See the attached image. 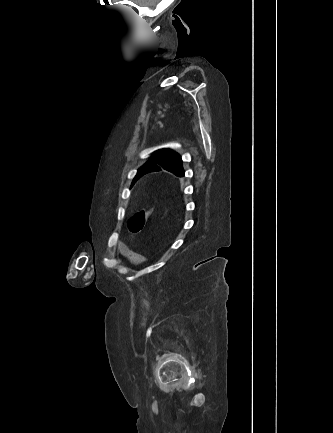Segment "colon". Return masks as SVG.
<instances>
[{
  "mask_svg": "<svg viewBox=\"0 0 333 433\" xmlns=\"http://www.w3.org/2000/svg\"><path fill=\"white\" fill-rule=\"evenodd\" d=\"M154 207L152 206L150 209H143L136 214H134L128 221V228L132 233H138L140 232L143 227L145 226V223L150 216V214L153 212Z\"/></svg>",
  "mask_w": 333,
  "mask_h": 433,
  "instance_id": "1",
  "label": "colon"
}]
</instances>
